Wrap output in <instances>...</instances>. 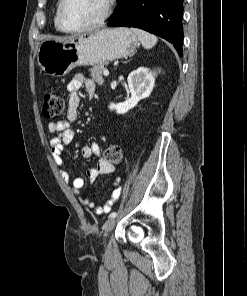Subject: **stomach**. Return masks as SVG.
Returning <instances> with one entry per match:
<instances>
[{
    "label": "stomach",
    "mask_w": 247,
    "mask_h": 296,
    "mask_svg": "<svg viewBox=\"0 0 247 296\" xmlns=\"http://www.w3.org/2000/svg\"><path fill=\"white\" fill-rule=\"evenodd\" d=\"M138 46L131 30L108 28L67 39L44 40L39 45L37 60L48 75L62 77L77 66H94L130 56Z\"/></svg>",
    "instance_id": "stomach-1"
}]
</instances>
